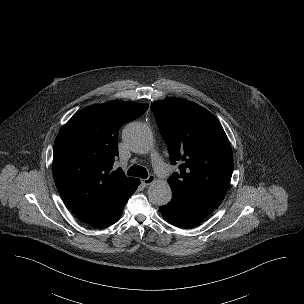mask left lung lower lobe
<instances>
[{"instance_id": "0a47b994", "label": "left lung lower lobe", "mask_w": 304, "mask_h": 304, "mask_svg": "<svg viewBox=\"0 0 304 304\" xmlns=\"http://www.w3.org/2000/svg\"><path fill=\"white\" fill-rule=\"evenodd\" d=\"M164 219L178 227H191L204 220L214 208L194 202L177 193H173L172 200L159 207Z\"/></svg>"}]
</instances>
